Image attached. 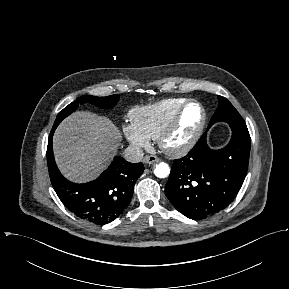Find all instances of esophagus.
Instances as JSON below:
<instances>
[{
  "label": "esophagus",
  "instance_id": "esophagus-1",
  "mask_svg": "<svg viewBox=\"0 0 289 289\" xmlns=\"http://www.w3.org/2000/svg\"><path fill=\"white\" fill-rule=\"evenodd\" d=\"M144 161L146 164L151 165L154 163H158L160 161V159L157 156L150 155V156H146Z\"/></svg>",
  "mask_w": 289,
  "mask_h": 289
}]
</instances>
